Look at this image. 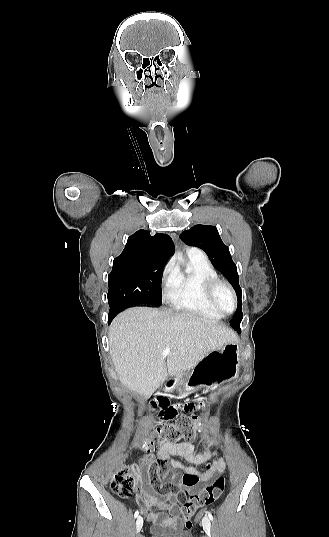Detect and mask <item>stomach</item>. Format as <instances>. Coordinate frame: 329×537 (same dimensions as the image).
Returning <instances> with one entry per match:
<instances>
[{
	"instance_id": "1",
	"label": "stomach",
	"mask_w": 329,
	"mask_h": 537,
	"mask_svg": "<svg viewBox=\"0 0 329 537\" xmlns=\"http://www.w3.org/2000/svg\"><path fill=\"white\" fill-rule=\"evenodd\" d=\"M240 344L232 341L206 355L190 373H181L168 383L166 390L184 386L193 391L202 385L221 383L236 376L240 365Z\"/></svg>"
}]
</instances>
